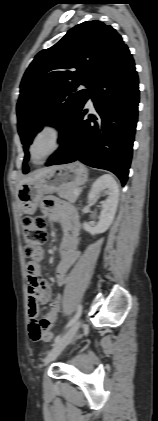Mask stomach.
I'll return each mask as SVG.
<instances>
[{
	"label": "stomach",
	"mask_w": 158,
	"mask_h": 421,
	"mask_svg": "<svg viewBox=\"0 0 158 421\" xmlns=\"http://www.w3.org/2000/svg\"><path fill=\"white\" fill-rule=\"evenodd\" d=\"M88 172L80 162L52 167L41 177L22 184L18 189V201L26 214H33L43 195L77 188L87 181Z\"/></svg>",
	"instance_id": "0dacf381"
}]
</instances>
